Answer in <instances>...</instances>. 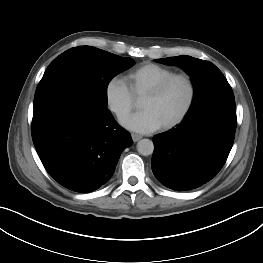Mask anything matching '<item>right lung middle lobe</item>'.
<instances>
[{
  "label": "right lung middle lobe",
  "instance_id": "1",
  "mask_svg": "<svg viewBox=\"0 0 263 263\" xmlns=\"http://www.w3.org/2000/svg\"><path fill=\"white\" fill-rule=\"evenodd\" d=\"M133 64L132 58H123L95 47L71 48L47 67L35 92L34 107L58 99L74 98L97 110L107 111L109 82Z\"/></svg>",
  "mask_w": 263,
  "mask_h": 263
}]
</instances>
